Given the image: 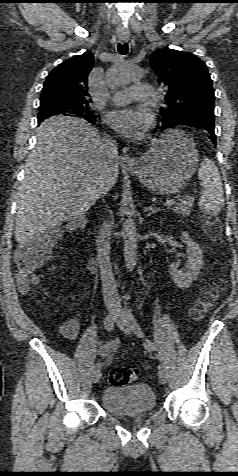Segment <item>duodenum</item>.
I'll use <instances>...</instances> for the list:
<instances>
[{"instance_id": "410a0bca", "label": "duodenum", "mask_w": 238, "mask_h": 476, "mask_svg": "<svg viewBox=\"0 0 238 476\" xmlns=\"http://www.w3.org/2000/svg\"><path fill=\"white\" fill-rule=\"evenodd\" d=\"M86 219L85 217H77L72 219L68 224V233L73 242H78L80 235L85 227ZM86 264L89 269L92 271L97 269V260L93 254H87L85 256Z\"/></svg>"}]
</instances>
